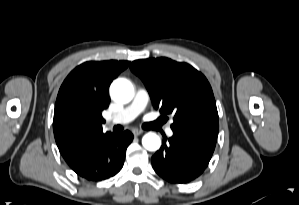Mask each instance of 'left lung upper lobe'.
Masks as SVG:
<instances>
[{
    "instance_id": "5c2ea615",
    "label": "left lung upper lobe",
    "mask_w": 299,
    "mask_h": 205,
    "mask_svg": "<svg viewBox=\"0 0 299 205\" xmlns=\"http://www.w3.org/2000/svg\"><path fill=\"white\" fill-rule=\"evenodd\" d=\"M130 68L144 82L154 107L163 116L174 115L172 130L219 129L212 88L191 65L162 57L136 60Z\"/></svg>"
}]
</instances>
